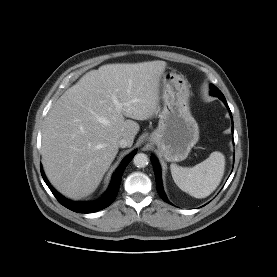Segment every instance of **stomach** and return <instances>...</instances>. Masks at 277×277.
<instances>
[{
  "label": "stomach",
  "instance_id": "stomach-1",
  "mask_svg": "<svg viewBox=\"0 0 277 277\" xmlns=\"http://www.w3.org/2000/svg\"><path fill=\"white\" fill-rule=\"evenodd\" d=\"M189 95V84L183 76L174 72L163 74V108L149 142L170 162L186 159L199 140V127L190 112Z\"/></svg>",
  "mask_w": 277,
  "mask_h": 277
}]
</instances>
